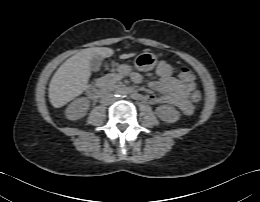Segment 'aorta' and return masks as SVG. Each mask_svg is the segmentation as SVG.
Here are the masks:
<instances>
[{
  "label": "aorta",
  "mask_w": 260,
  "mask_h": 202,
  "mask_svg": "<svg viewBox=\"0 0 260 202\" xmlns=\"http://www.w3.org/2000/svg\"><path fill=\"white\" fill-rule=\"evenodd\" d=\"M118 96H125V93L123 91L119 92Z\"/></svg>",
  "instance_id": "aorta-1"
}]
</instances>
